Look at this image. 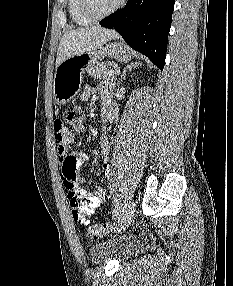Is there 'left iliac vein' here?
<instances>
[{
    "mask_svg": "<svg viewBox=\"0 0 233 286\" xmlns=\"http://www.w3.org/2000/svg\"><path fill=\"white\" fill-rule=\"evenodd\" d=\"M134 212H135L134 202H130L128 205H126V207H124L123 212L121 213L118 220V226L116 227V231L118 233L125 230L126 227L129 226Z\"/></svg>",
    "mask_w": 233,
    "mask_h": 286,
    "instance_id": "left-iliac-vein-1",
    "label": "left iliac vein"
}]
</instances>
